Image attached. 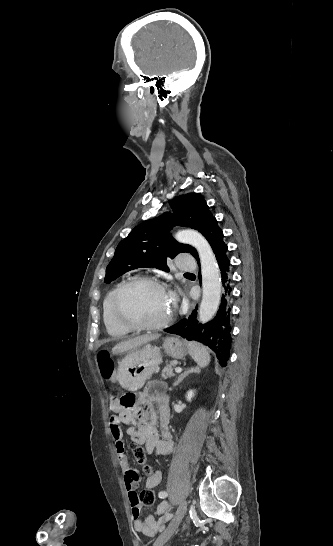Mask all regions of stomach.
Returning a JSON list of instances; mask_svg holds the SVG:
<instances>
[{"instance_id":"1","label":"stomach","mask_w":333,"mask_h":546,"mask_svg":"<svg viewBox=\"0 0 333 546\" xmlns=\"http://www.w3.org/2000/svg\"><path fill=\"white\" fill-rule=\"evenodd\" d=\"M162 347L167 355L175 359H181L189 353L187 343L177 337L165 338ZM161 362L157 347L148 344L134 349L118 363V381L126 390L137 391L158 370Z\"/></svg>"}]
</instances>
